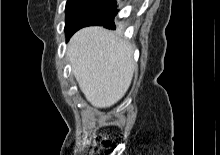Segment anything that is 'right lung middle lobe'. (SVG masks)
Instances as JSON below:
<instances>
[{"label":"right lung middle lobe","mask_w":220,"mask_h":155,"mask_svg":"<svg viewBox=\"0 0 220 155\" xmlns=\"http://www.w3.org/2000/svg\"><path fill=\"white\" fill-rule=\"evenodd\" d=\"M116 8L114 0H68L65 32L67 37L96 17Z\"/></svg>","instance_id":"dd1d6c3e"}]
</instances>
